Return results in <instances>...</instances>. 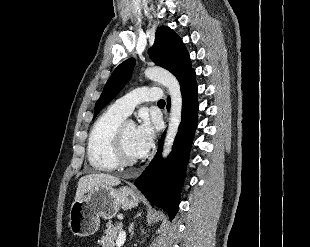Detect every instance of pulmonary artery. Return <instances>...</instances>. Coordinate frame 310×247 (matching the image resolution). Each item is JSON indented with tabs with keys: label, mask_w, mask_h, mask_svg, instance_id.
<instances>
[{
	"label": "pulmonary artery",
	"mask_w": 310,
	"mask_h": 247,
	"mask_svg": "<svg viewBox=\"0 0 310 247\" xmlns=\"http://www.w3.org/2000/svg\"><path fill=\"white\" fill-rule=\"evenodd\" d=\"M162 95V90L158 87L143 86L117 99L113 107L124 116H128L139 103L144 101H159Z\"/></svg>",
	"instance_id": "e3ab8cb5"
}]
</instances>
